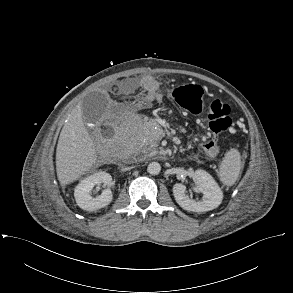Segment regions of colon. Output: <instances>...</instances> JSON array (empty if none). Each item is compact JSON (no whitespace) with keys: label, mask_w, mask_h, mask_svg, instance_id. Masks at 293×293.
Instances as JSON below:
<instances>
[{"label":"colon","mask_w":293,"mask_h":293,"mask_svg":"<svg viewBox=\"0 0 293 293\" xmlns=\"http://www.w3.org/2000/svg\"><path fill=\"white\" fill-rule=\"evenodd\" d=\"M126 87L128 85H120L119 89H125ZM172 98L178 106L191 114L200 115L207 111L210 136L202 141L201 146L210 157H218L220 154V149L217 145L218 136L232 125L230 107L220 100H214L207 104L202 87L195 84L176 87L172 92ZM147 102L146 99H143L139 104H146ZM104 134L110 136L112 135V130L106 129Z\"/></svg>","instance_id":"obj_1"}]
</instances>
